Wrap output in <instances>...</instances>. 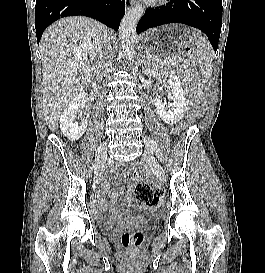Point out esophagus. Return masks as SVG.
<instances>
[{"label":"esophagus","instance_id":"obj_1","mask_svg":"<svg viewBox=\"0 0 265 273\" xmlns=\"http://www.w3.org/2000/svg\"><path fill=\"white\" fill-rule=\"evenodd\" d=\"M135 3H137V0H130V4H131V5H133V4H135Z\"/></svg>","mask_w":265,"mask_h":273}]
</instances>
